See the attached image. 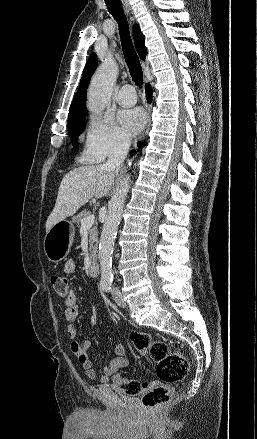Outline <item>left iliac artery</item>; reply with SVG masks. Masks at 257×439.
I'll return each mask as SVG.
<instances>
[{"instance_id": "44dca946", "label": "left iliac artery", "mask_w": 257, "mask_h": 439, "mask_svg": "<svg viewBox=\"0 0 257 439\" xmlns=\"http://www.w3.org/2000/svg\"><path fill=\"white\" fill-rule=\"evenodd\" d=\"M102 288H103L105 291H110V290H111V284H110V283H105V284L102 286Z\"/></svg>"}]
</instances>
